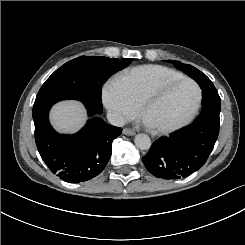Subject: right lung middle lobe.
Segmentation results:
<instances>
[{"mask_svg":"<svg viewBox=\"0 0 245 245\" xmlns=\"http://www.w3.org/2000/svg\"><path fill=\"white\" fill-rule=\"evenodd\" d=\"M132 59H114L102 56H81L56 70L39 90L35 103L51 99L82 101L93 113H102L101 87Z\"/></svg>","mask_w":245,"mask_h":245,"instance_id":"obj_1","label":"right lung middle lobe"}]
</instances>
